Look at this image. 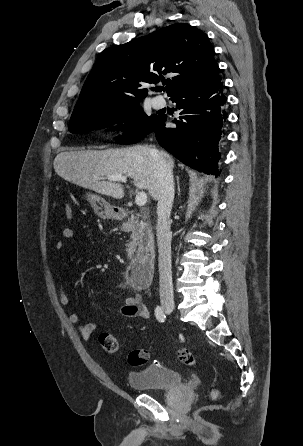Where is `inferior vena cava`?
<instances>
[{"label": "inferior vena cava", "instance_id": "obj_1", "mask_svg": "<svg viewBox=\"0 0 303 446\" xmlns=\"http://www.w3.org/2000/svg\"><path fill=\"white\" fill-rule=\"evenodd\" d=\"M155 165V178L157 189V215L156 225L157 243L159 252V283L160 299L162 302H173V284L171 271V239L169 218L174 200V181L172 170L159 155L156 149H151Z\"/></svg>", "mask_w": 303, "mask_h": 446}]
</instances>
